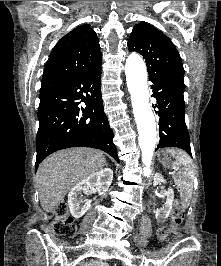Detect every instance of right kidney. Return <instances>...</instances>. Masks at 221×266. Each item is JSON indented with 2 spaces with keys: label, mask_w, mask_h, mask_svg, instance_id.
<instances>
[{
  "label": "right kidney",
  "mask_w": 221,
  "mask_h": 266,
  "mask_svg": "<svg viewBox=\"0 0 221 266\" xmlns=\"http://www.w3.org/2000/svg\"><path fill=\"white\" fill-rule=\"evenodd\" d=\"M113 180V171L109 168L101 169L89 175L71 188L68 194L70 213L76 219L82 217L90 208V201L83 199L82 194H88L90 189L105 193Z\"/></svg>",
  "instance_id": "right-kidney-1"
}]
</instances>
